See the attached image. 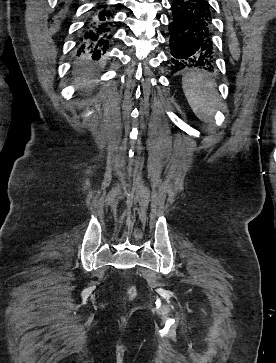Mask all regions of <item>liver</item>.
Listing matches in <instances>:
<instances>
[{
	"mask_svg": "<svg viewBox=\"0 0 276 363\" xmlns=\"http://www.w3.org/2000/svg\"><path fill=\"white\" fill-rule=\"evenodd\" d=\"M75 64L78 67V69L75 71V74L80 76L76 78L75 81L84 87L86 86L87 90H89L92 85L91 82L88 81V78L93 75V68L86 66L90 65V62L87 59L81 58Z\"/></svg>",
	"mask_w": 276,
	"mask_h": 363,
	"instance_id": "1",
	"label": "liver"
}]
</instances>
